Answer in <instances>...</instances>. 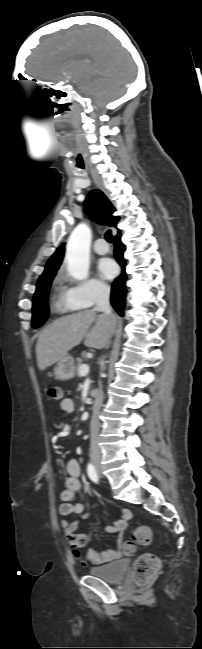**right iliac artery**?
<instances>
[{
	"label": "right iliac artery",
	"instance_id": "obj_1",
	"mask_svg": "<svg viewBox=\"0 0 202 649\" xmlns=\"http://www.w3.org/2000/svg\"><path fill=\"white\" fill-rule=\"evenodd\" d=\"M87 473H88L89 478H90L94 483H98L99 478H98V475H97L96 469H95V467H94L92 464H88V466H87Z\"/></svg>",
	"mask_w": 202,
	"mask_h": 649
}]
</instances>
